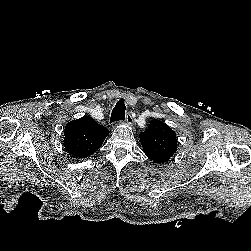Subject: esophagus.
Returning <instances> with one entry per match:
<instances>
[{
  "label": "esophagus",
  "instance_id": "esophagus-1",
  "mask_svg": "<svg viewBox=\"0 0 251 251\" xmlns=\"http://www.w3.org/2000/svg\"><path fill=\"white\" fill-rule=\"evenodd\" d=\"M125 122H126L128 125H133V124H134V120H133V117H132L131 114H127V115H126Z\"/></svg>",
  "mask_w": 251,
  "mask_h": 251
}]
</instances>
